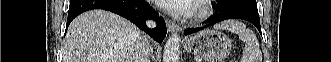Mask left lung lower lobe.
Listing matches in <instances>:
<instances>
[{
	"mask_svg": "<svg viewBox=\"0 0 331 62\" xmlns=\"http://www.w3.org/2000/svg\"><path fill=\"white\" fill-rule=\"evenodd\" d=\"M227 19H242L252 23L256 28L261 31L260 18L257 6L250 5L244 2L230 3L225 7L218 8V13L208 18L205 22L208 24L199 28H189L184 31L185 35L196 33L205 27L218 23ZM262 35V34H261Z\"/></svg>",
	"mask_w": 331,
	"mask_h": 62,
	"instance_id": "left-lung-lower-lobe-1",
	"label": "left lung lower lobe"
}]
</instances>
